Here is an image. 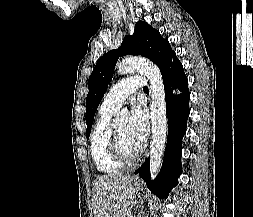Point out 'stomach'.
<instances>
[{"instance_id":"stomach-1","label":"stomach","mask_w":253,"mask_h":217,"mask_svg":"<svg viewBox=\"0 0 253 217\" xmlns=\"http://www.w3.org/2000/svg\"><path fill=\"white\" fill-rule=\"evenodd\" d=\"M134 188L136 189V191L140 190V189L142 188L141 183L135 182V183H134Z\"/></svg>"}]
</instances>
